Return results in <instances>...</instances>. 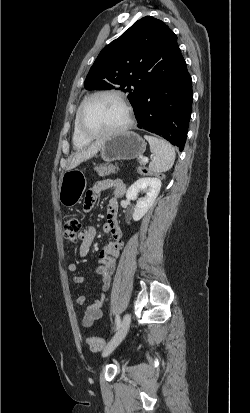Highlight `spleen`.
<instances>
[{
  "mask_svg": "<svg viewBox=\"0 0 250 413\" xmlns=\"http://www.w3.org/2000/svg\"><path fill=\"white\" fill-rule=\"evenodd\" d=\"M145 139L149 142L150 150L154 154L149 170L153 173L168 171L173 166L176 157L173 146L166 140L153 136L145 135Z\"/></svg>",
  "mask_w": 250,
  "mask_h": 413,
  "instance_id": "spleen-1",
  "label": "spleen"
}]
</instances>
